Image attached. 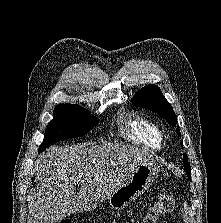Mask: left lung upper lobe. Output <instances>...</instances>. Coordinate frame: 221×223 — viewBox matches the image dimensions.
Masks as SVG:
<instances>
[{"label": "left lung upper lobe", "instance_id": "5c2ea615", "mask_svg": "<svg viewBox=\"0 0 221 223\" xmlns=\"http://www.w3.org/2000/svg\"><path fill=\"white\" fill-rule=\"evenodd\" d=\"M132 103L135 106L143 107L158 113L161 117L165 118L171 126H176L177 124V118L172 106L164 98L158 86L147 85L146 87L142 88L133 97ZM176 131L180 135L179 128H177ZM183 164L184 170L187 173L188 178L191 180V167L186 154H184Z\"/></svg>", "mask_w": 221, "mask_h": 223}]
</instances>
